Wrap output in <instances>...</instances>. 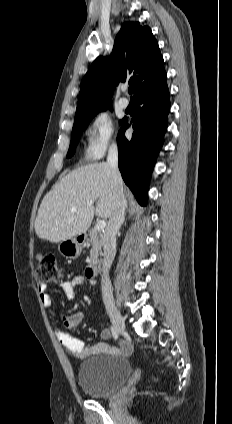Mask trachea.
Here are the masks:
<instances>
[{
  "instance_id": "1",
  "label": "trachea",
  "mask_w": 232,
  "mask_h": 424,
  "mask_svg": "<svg viewBox=\"0 0 232 424\" xmlns=\"http://www.w3.org/2000/svg\"><path fill=\"white\" fill-rule=\"evenodd\" d=\"M133 91H134L133 87H130V88L128 89V92H129L130 94H132V93H133Z\"/></svg>"
}]
</instances>
